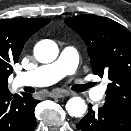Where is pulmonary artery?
<instances>
[{
    "instance_id": "obj_1",
    "label": "pulmonary artery",
    "mask_w": 131,
    "mask_h": 131,
    "mask_svg": "<svg viewBox=\"0 0 131 131\" xmlns=\"http://www.w3.org/2000/svg\"><path fill=\"white\" fill-rule=\"evenodd\" d=\"M78 52L72 46L65 47L58 59L50 64L42 65L34 70L21 72L15 78L18 86H47L76 71L78 66ZM106 87L97 86L90 90V97L98 101L104 96Z\"/></svg>"
}]
</instances>
